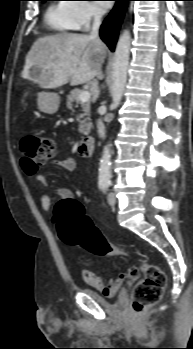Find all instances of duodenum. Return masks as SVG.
I'll return each mask as SVG.
<instances>
[{"mask_svg": "<svg viewBox=\"0 0 193 349\" xmlns=\"http://www.w3.org/2000/svg\"><path fill=\"white\" fill-rule=\"evenodd\" d=\"M95 142L91 136L84 137L78 145L77 153L80 156H88L94 151Z\"/></svg>", "mask_w": 193, "mask_h": 349, "instance_id": "410a0bca", "label": "duodenum"}]
</instances>
